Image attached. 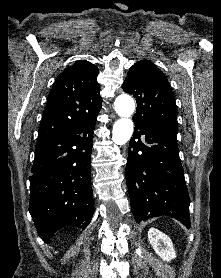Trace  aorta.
Instances as JSON below:
<instances>
[{"label": "aorta", "mask_w": 221, "mask_h": 278, "mask_svg": "<svg viewBox=\"0 0 221 278\" xmlns=\"http://www.w3.org/2000/svg\"><path fill=\"white\" fill-rule=\"evenodd\" d=\"M114 108L120 119L113 126L112 140L117 145H123L130 140L133 133L131 116L135 111V103L131 96L122 94L116 98Z\"/></svg>", "instance_id": "1"}]
</instances>
